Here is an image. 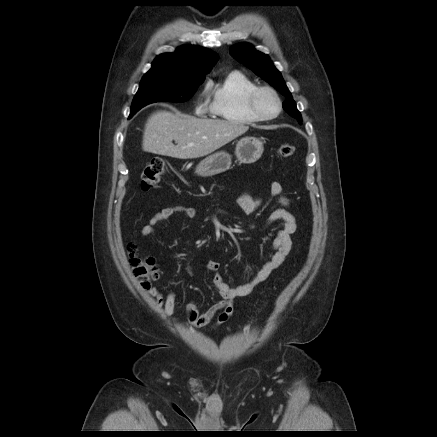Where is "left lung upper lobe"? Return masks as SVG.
Wrapping results in <instances>:
<instances>
[{"mask_svg":"<svg viewBox=\"0 0 437 437\" xmlns=\"http://www.w3.org/2000/svg\"><path fill=\"white\" fill-rule=\"evenodd\" d=\"M230 54L284 95L286 97V100L283 103L284 110L289 115L296 118L301 124L302 117L297 110L296 103L293 100L281 73L273 65L268 55L256 51L253 46L248 43L232 46L230 48Z\"/></svg>","mask_w":437,"mask_h":437,"instance_id":"1","label":"left lung upper lobe"}]
</instances>
